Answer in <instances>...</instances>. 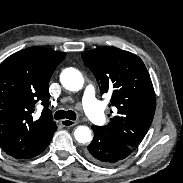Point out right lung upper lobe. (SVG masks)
<instances>
[{
	"mask_svg": "<svg viewBox=\"0 0 183 183\" xmlns=\"http://www.w3.org/2000/svg\"><path fill=\"white\" fill-rule=\"evenodd\" d=\"M66 56L44 47L21 50L0 65V146L18 159L42 153L57 129L48 109V83ZM44 106L39 119L32 113Z\"/></svg>",
	"mask_w": 183,
	"mask_h": 183,
	"instance_id": "obj_1",
	"label": "right lung upper lobe"
}]
</instances>
